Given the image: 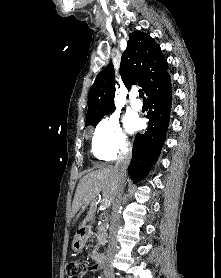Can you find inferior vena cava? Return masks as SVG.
Instances as JSON below:
<instances>
[{
	"instance_id": "1",
	"label": "inferior vena cava",
	"mask_w": 221,
	"mask_h": 278,
	"mask_svg": "<svg viewBox=\"0 0 221 278\" xmlns=\"http://www.w3.org/2000/svg\"><path fill=\"white\" fill-rule=\"evenodd\" d=\"M131 151L125 150L121 153L119 159L115 164V168L118 173L119 183L114 192V201L112 203V214H111V221H110V228H109V243L108 248L106 251V257L103 264L104 272L112 271L113 267L111 265L112 257L116 251L117 247V233L120 227V206L122 202V195L124 192V181L126 177V170L131 160Z\"/></svg>"
}]
</instances>
